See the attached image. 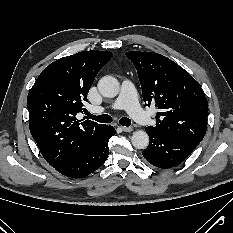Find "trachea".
I'll return each mask as SVG.
<instances>
[{
	"label": "trachea",
	"instance_id": "trachea-1",
	"mask_svg": "<svg viewBox=\"0 0 233 233\" xmlns=\"http://www.w3.org/2000/svg\"><path fill=\"white\" fill-rule=\"evenodd\" d=\"M86 115H87V118L93 119L100 123H111L113 121L112 117L108 114H102V115L96 116V115H92L91 113L87 112ZM119 123L123 126H130L131 120L127 117H123L119 120Z\"/></svg>",
	"mask_w": 233,
	"mask_h": 233
}]
</instances>
